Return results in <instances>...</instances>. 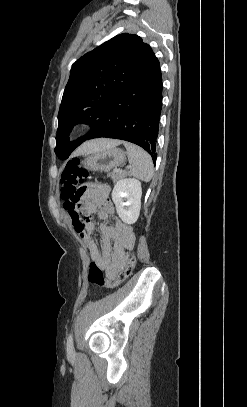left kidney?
<instances>
[{"label": "left kidney", "instance_id": "left-kidney-1", "mask_svg": "<svg viewBox=\"0 0 247 407\" xmlns=\"http://www.w3.org/2000/svg\"><path fill=\"white\" fill-rule=\"evenodd\" d=\"M142 188L141 182L134 178L120 179L112 191V200L121 220L134 224L140 214Z\"/></svg>", "mask_w": 247, "mask_h": 407}]
</instances>
